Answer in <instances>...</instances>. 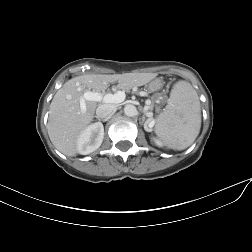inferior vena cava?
I'll return each mask as SVG.
<instances>
[{"label": "inferior vena cava", "mask_w": 252, "mask_h": 252, "mask_svg": "<svg viewBox=\"0 0 252 252\" xmlns=\"http://www.w3.org/2000/svg\"><path fill=\"white\" fill-rule=\"evenodd\" d=\"M116 111V107L113 104H101L96 109V115L99 119H108Z\"/></svg>", "instance_id": "1"}]
</instances>
